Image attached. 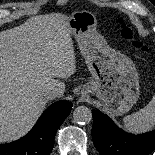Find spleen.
Wrapping results in <instances>:
<instances>
[{
	"label": "spleen",
	"mask_w": 155,
	"mask_h": 155,
	"mask_svg": "<svg viewBox=\"0 0 155 155\" xmlns=\"http://www.w3.org/2000/svg\"><path fill=\"white\" fill-rule=\"evenodd\" d=\"M126 130L142 133L151 130L155 126V94L151 101L138 112L123 118Z\"/></svg>",
	"instance_id": "1"
}]
</instances>
